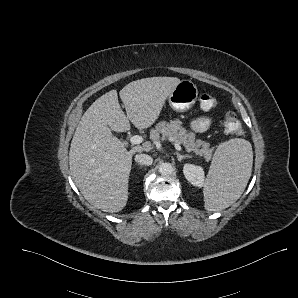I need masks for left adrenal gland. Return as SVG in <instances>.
Returning a JSON list of instances; mask_svg holds the SVG:
<instances>
[{
  "label": "left adrenal gland",
  "mask_w": 298,
  "mask_h": 298,
  "mask_svg": "<svg viewBox=\"0 0 298 298\" xmlns=\"http://www.w3.org/2000/svg\"><path fill=\"white\" fill-rule=\"evenodd\" d=\"M176 156L178 161H182L183 159H186V158H192L191 155H188V154L182 155L179 152H176Z\"/></svg>",
  "instance_id": "obj_1"
}]
</instances>
